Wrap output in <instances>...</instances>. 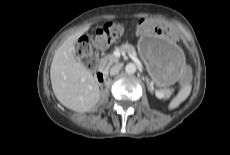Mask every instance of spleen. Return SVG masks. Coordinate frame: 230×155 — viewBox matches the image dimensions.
I'll return each mask as SVG.
<instances>
[{"mask_svg": "<svg viewBox=\"0 0 230 155\" xmlns=\"http://www.w3.org/2000/svg\"><path fill=\"white\" fill-rule=\"evenodd\" d=\"M191 92V85H185L179 93L170 101L168 108L169 110H173L177 108L183 101L187 99Z\"/></svg>", "mask_w": 230, "mask_h": 155, "instance_id": "1", "label": "spleen"}]
</instances>
